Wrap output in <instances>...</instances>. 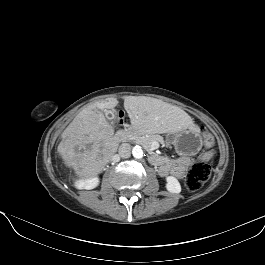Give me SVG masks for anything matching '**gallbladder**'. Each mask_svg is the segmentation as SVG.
Wrapping results in <instances>:
<instances>
[{"label":"gallbladder","mask_w":265,"mask_h":265,"mask_svg":"<svg viewBox=\"0 0 265 265\" xmlns=\"http://www.w3.org/2000/svg\"><path fill=\"white\" fill-rule=\"evenodd\" d=\"M106 116L108 117L109 120H112L113 117H114V113H113L112 111H108V112L106 113Z\"/></svg>","instance_id":"bac80fb5"}]
</instances>
